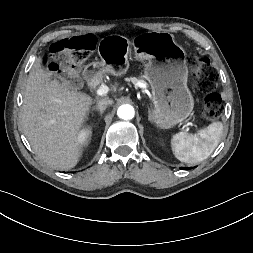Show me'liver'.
<instances>
[{
	"label": "liver",
	"instance_id": "1",
	"mask_svg": "<svg viewBox=\"0 0 253 253\" xmlns=\"http://www.w3.org/2000/svg\"><path fill=\"white\" fill-rule=\"evenodd\" d=\"M93 103L89 95L51 80L39 62L33 65L24 91L21 124L40 160L57 170L77 165L86 143L80 133Z\"/></svg>",
	"mask_w": 253,
	"mask_h": 253
}]
</instances>
